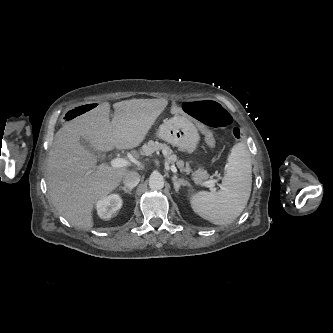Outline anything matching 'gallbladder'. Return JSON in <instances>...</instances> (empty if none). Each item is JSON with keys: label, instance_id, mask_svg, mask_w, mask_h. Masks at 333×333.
I'll return each instance as SVG.
<instances>
[{"label": "gallbladder", "instance_id": "1", "mask_svg": "<svg viewBox=\"0 0 333 333\" xmlns=\"http://www.w3.org/2000/svg\"><path fill=\"white\" fill-rule=\"evenodd\" d=\"M79 142L84 148H86L93 154L100 156V153L90 144V142L88 140H86L84 138H80Z\"/></svg>", "mask_w": 333, "mask_h": 333}]
</instances>
